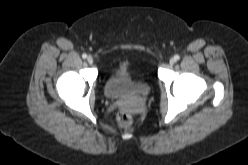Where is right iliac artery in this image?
<instances>
[{
    "label": "right iliac artery",
    "mask_w": 248,
    "mask_h": 165,
    "mask_svg": "<svg viewBox=\"0 0 248 165\" xmlns=\"http://www.w3.org/2000/svg\"><path fill=\"white\" fill-rule=\"evenodd\" d=\"M87 57V55L84 53L82 54V58L85 59Z\"/></svg>",
    "instance_id": "right-iliac-artery-1"
}]
</instances>
